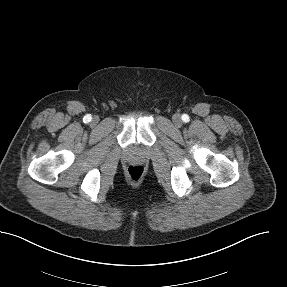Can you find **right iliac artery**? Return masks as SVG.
<instances>
[{
    "label": "right iliac artery",
    "mask_w": 287,
    "mask_h": 287,
    "mask_svg": "<svg viewBox=\"0 0 287 287\" xmlns=\"http://www.w3.org/2000/svg\"><path fill=\"white\" fill-rule=\"evenodd\" d=\"M92 120L91 115L87 114L86 116H84L83 121L85 123H89Z\"/></svg>",
    "instance_id": "obj_1"
}]
</instances>
